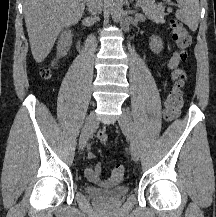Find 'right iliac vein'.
Segmentation results:
<instances>
[{
    "label": "right iliac vein",
    "mask_w": 216,
    "mask_h": 217,
    "mask_svg": "<svg viewBox=\"0 0 216 217\" xmlns=\"http://www.w3.org/2000/svg\"><path fill=\"white\" fill-rule=\"evenodd\" d=\"M98 122L97 118L94 112H91L88 117L86 118L85 124L82 128L80 138H79V147L81 150H83L87 142L92 135V133L95 131L97 128Z\"/></svg>",
    "instance_id": "obj_1"
}]
</instances>
